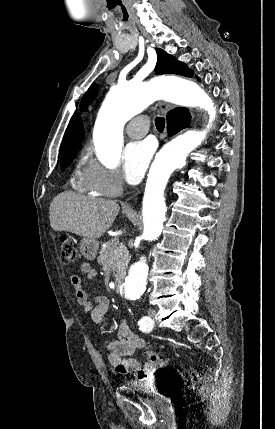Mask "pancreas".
<instances>
[{
	"label": "pancreas",
	"mask_w": 275,
	"mask_h": 429,
	"mask_svg": "<svg viewBox=\"0 0 275 429\" xmlns=\"http://www.w3.org/2000/svg\"><path fill=\"white\" fill-rule=\"evenodd\" d=\"M119 243L115 240L108 241L106 246L99 251L98 263L106 269L113 272H118L126 265V252Z\"/></svg>",
	"instance_id": "obj_1"
}]
</instances>
